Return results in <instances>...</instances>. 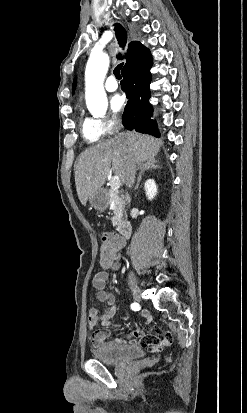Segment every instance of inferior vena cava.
<instances>
[{"mask_svg": "<svg viewBox=\"0 0 247 413\" xmlns=\"http://www.w3.org/2000/svg\"><path fill=\"white\" fill-rule=\"evenodd\" d=\"M115 138H117V140H121V138H124V134H122V132H117V136H115ZM136 170H137V164H135V162H133V160L129 158V160H127L126 176H125V184L126 186H128V188H131V186H133L134 184ZM128 279L129 281H135V277L133 273H130Z\"/></svg>", "mask_w": 247, "mask_h": 413, "instance_id": "602c4592", "label": "inferior vena cava"}]
</instances>
